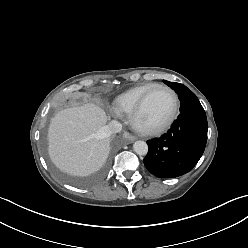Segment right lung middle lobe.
Instances as JSON below:
<instances>
[{
	"mask_svg": "<svg viewBox=\"0 0 248 248\" xmlns=\"http://www.w3.org/2000/svg\"><path fill=\"white\" fill-rule=\"evenodd\" d=\"M110 160L111 158L109 157L106 161V163L103 165V167L95 174L89 176V177H85V178H80V177H75L72 175H69L65 172H63L62 170H60L57 166L55 165H51V168L53 170V172L63 181L70 183L72 185H77V186H89L92 185L96 182H98L99 180L102 179V177L105 175V173L107 172L109 165H110Z\"/></svg>",
	"mask_w": 248,
	"mask_h": 248,
	"instance_id": "1",
	"label": "right lung middle lobe"
}]
</instances>
